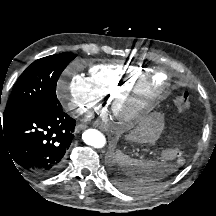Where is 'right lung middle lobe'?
<instances>
[{
	"label": "right lung middle lobe",
	"instance_id": "1",
	"mask_svg": "<svg viewBox=\"0 0 216 216\" xmlns=\"http://www.w3.org/2000/svg\"><path fill=\"white\" fill-rule=\"evenodd\" d=\"M75 57L73 53L64 52L34 61L14 85L3 119L35 107L58 104L56 83L62 71Z\"/></svg>",
	"mask_w": 216,
	"mask_h": 216
}]
</instances>
